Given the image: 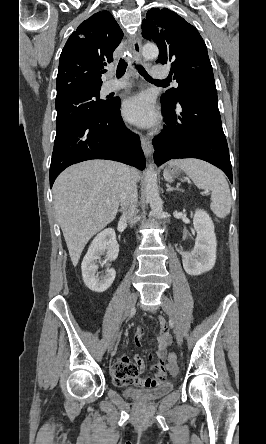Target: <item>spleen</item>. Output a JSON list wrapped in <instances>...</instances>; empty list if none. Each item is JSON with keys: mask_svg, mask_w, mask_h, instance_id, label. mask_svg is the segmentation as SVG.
<instances>
[{"mask_svg": "<svg viewBox=\"0 0 266 444\" xmlns=\"http://www.w3.org/2000/svg\"><path fill=\"white\" fill-rule=\"evenodd\" d=\"M181 168L199 189L211 191V210L219 218H225L231 209V194L226 178L218 168L195 159L171 160L169 167Z\"/></svg>", "mask_w": 266, "mask_h": 444, "instance_id": "obj_1", "label": "spleen"}]
</instances>
